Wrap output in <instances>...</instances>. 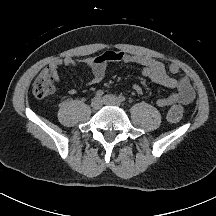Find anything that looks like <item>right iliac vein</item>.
Instances as JSON below:
<instances>
[{"instance_id": "obj_1", "label": "right iliac vein", "mask_w": 216, "mask_h": 216, "mask_svg": "<svg viewBox=\"0 0 216 216\" xmlns=\"http://www.w3.org/2000/svg\"><path fill=\"white\" fill-rule=\"evenodd\" d=\"M102 106V100L98 97H95L92 99V102H91V107L94 109V110H98L100 109Z\"/></svg>"}]
</instances>
